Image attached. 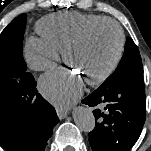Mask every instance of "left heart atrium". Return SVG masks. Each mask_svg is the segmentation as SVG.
Segmentation results:
<instances>
[{
    "mask_svg": "<svg viewBox=\"0 0 151 151\" xmlns=\"http://www.w3.org/2000/svg\"><path fill=\"white\" fill-rule=\"evenodd\" d=\"M84 80L71 69H55L39 81L42 94L59 108L72 104L83 92Z\"/></svg>",
    "mask_w": 151,
    "mask_h": 151,
    "instance_id": "left-heart-atrium-1",
    "label": "left heart atrium"
}]
</instances>
